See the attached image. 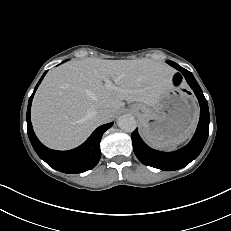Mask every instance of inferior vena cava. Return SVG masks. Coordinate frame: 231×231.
I'll return each instance as SVG.
<instances>
[{
  "mask_svg": "<svg viewBox=\"0 0 231 231\" xmlns=\"http://www.w3.org/2000/svg\"><path fill=\"white\" fill-rule=\"evenodd\" d=\"M98 118L102 121V123L107 122L110 119L109 112L107 110H102L98 113Z\"/></svg>",
  "mask_w": 231,
  "mask_h": 231,
  "instance_id": "602c4592",
  "label": "inferior vena cava"
}]
</instances>
